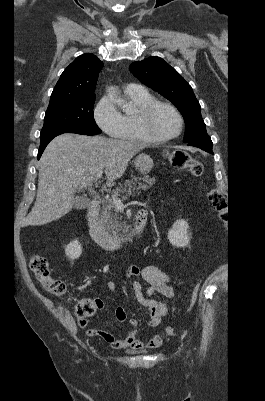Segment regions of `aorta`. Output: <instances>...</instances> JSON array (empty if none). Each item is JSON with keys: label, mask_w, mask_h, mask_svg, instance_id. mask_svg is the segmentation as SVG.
Segmentation results:
<instances>
[{"label": "aorta", "mask_w": 265, "mask_h": 401, "mask_svg": "<svg viewBox=\"0 0 265 401\" xmlns=\"http://www.w3.org/2000/svg\"><path fill=\"white\" fill-rule=\"evenodd\" d=\"M106 92H108L109 96H114V100L117 102V104H119V106L125 108L122 98H115V96H117L116 92H118V90H116V86H107Z\"/></svg>", "instance_id": "762f6f07"}]
</instances>
